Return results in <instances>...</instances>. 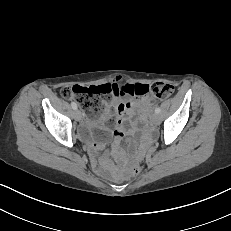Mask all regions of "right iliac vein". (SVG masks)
Segmentation results:
<instances>
[{
	"label": "right iliac vein",
	"instance_id": "1",
	"mask_svg": "<svg viewBox=\"0 0 231 231\" xmlns=\"http://www.w3.org/2000/svg\"><path fill=\"white\" fill-rule=\"evenodd\" d=\"M74 117L77 121H80L82 119V113L80 110L78 109H75L74 111Z\"/></svg>",
	"mask_w": 231,
	"mask_h": 231
}]
</instances>
